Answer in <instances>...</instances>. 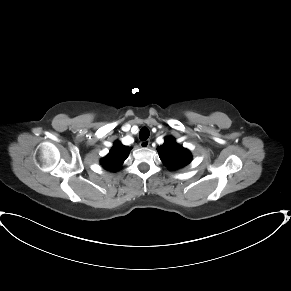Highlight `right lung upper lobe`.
<instances>
[{
	"label": "right lung upper lobe",
	"instance_id": "obj_1",
	"mask_svg": "<svg viewBox=\"0 0 291 291\" xmlns=\"http://www.w3.org/2000/svg\"><path fill=\"white\" fill-rule=\"evenodd\" d=\"M130 150V147L124 146L119 141H116L109 154L101 159V164L106 170L113 172L118 171L121 169V166L126 160Z\"/></svg>",
	"mask_w": 291,
	"mask_h": 291
}]
</instances>
